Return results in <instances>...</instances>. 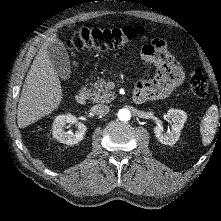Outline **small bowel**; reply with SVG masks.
I'll list each match as a JSON object with an SVG mask.
<instances>
[{"mask_svg": "<svg viewBox=\"0 0 221 221\" xmlns=\"http://www.w3.org/2000/svg\"><path fill=\"white\" fill-rule=\"evenodd\" d=\"M140 58L155 68V76L142 79L137 83L135 92L143 93L147 100H158L168 97L185 79L181 65L169 53L165 40L143 38Z\"/></svg>", "mask_w": 221, "mask_h": 221, "instance_id": "small-bowel-1", "label": "small bowel"}]
</instances>
